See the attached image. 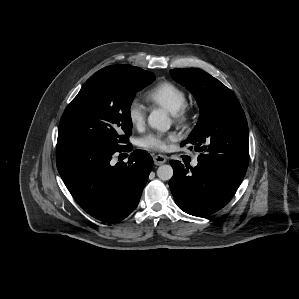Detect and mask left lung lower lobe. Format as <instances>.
<instances>
[{
    "mask_svg": "<svg viewBox=\"0 0 299 299\" xmlns=\"http://www.w3.org/2000/svg\"><path fill=\"white\" fill-rule=\"evenodd\" d=\"M174 175L169 186L176 204L193 216H207L223 208L234 196L246 170L198 161L194 168L170 161Z\"/></svg>",
    "mask_w": 299,
    "mask_h": 299,
    "instance_id": "obj_1",
    "label": "left lung lower lobe"
}]
</instances>
